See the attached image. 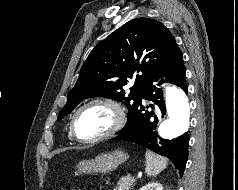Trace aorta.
Segmentation results:
<instances>
[{"mask_svg": "<svg viewBox=\"0 0 238 190\" xmlns=\"http://www.w3.org/2000/svg\"><path fill=\"white\" fill-rule=\"evenodd\" d=\"M167 119L158 128L160 137L171 140L183 134L189 127L190 102L185 92L175 86L165 90Z\"/></svg>", "mask_w": 238, "mask_h": 190, "instance_id": "obj_1", "label": "aorta"}]
</instances>
